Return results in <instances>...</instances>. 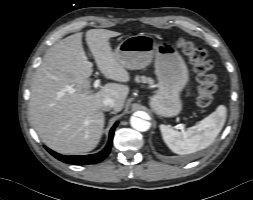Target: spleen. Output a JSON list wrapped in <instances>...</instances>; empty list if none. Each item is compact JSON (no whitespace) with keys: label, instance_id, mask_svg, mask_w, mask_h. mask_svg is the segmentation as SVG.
Returning a JSON list of instances; mask_svg holds the SVG:
<instances>
[{"label":"spleen","instance_id":"1","mask_svg":"<svg viewBox=\"0 0 253 200\" xmlns=\"http://www.w3.org/2000/svg\"><path fill=\"white\" fill-rule=\"evenodd\" d=\"M226 115V107L220 105L216 111L186 131L180 132L161 124L163 140L176 154L185 155L203 150L215 141L225 124Z\"/></svg>","mask_w":253,"mask_h":200}]
</instances>
